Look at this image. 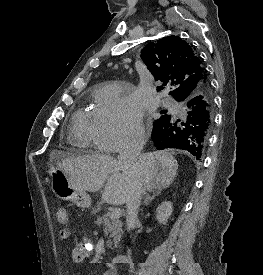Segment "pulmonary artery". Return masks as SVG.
I'll return each mask as SVG.
<instances>
[{"label":"pulmonary artery","mask_w":263,"mask_h":275,"mask_svg":"<svg viewBox=\"0 0 263 275\" xmlns=\"http://www.w3.org/2000/svg\"><path fill=\"white\" fill-rule=\"evenodd\" d=\"M167 105H173L171 102H166Z\"/></svg>","instance_id":"1"}]
</instances>
